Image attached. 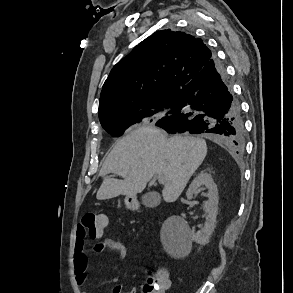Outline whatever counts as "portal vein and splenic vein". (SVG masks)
<instances>
[{"label": "portal vein and splenic vein", "mask_w": 293, "mask_h": 293, "mask_svg": "<svg viewBox=\"0 0 293 293\" xmlns=\"http://www.w3.org/2000/svg\"><path fill=\"white\" fill-rule=\"evenodd\" d=\"M157 180L160 182V183H164V177L161 176V175H157L156 176Z\"/></svg>", "instance_id": "1"}]
</instances>
